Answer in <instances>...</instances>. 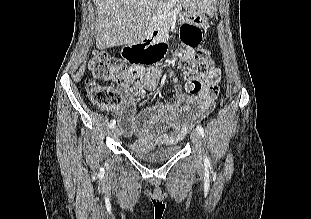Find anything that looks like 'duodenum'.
I'll list each match as a JSON object with an SVG mask.
<instances>
[{
	"label": "duodenum",
	"instance_id": "duodenum-1",
	"mask_svg": "<svg viewBox=\"0 0 311 219\" xmlns=\"http://www.w3.org/2000/svg\"><path fill=\"white\" fill-rule=\"evenodd\" d=\"M160 48H165V39L161 36L158 29L152 28L147 31L140 43H136L127 48V57H138L140 55L152 54L154 51ZM125 50V52H126Z\"/></svg>",
	"mask_w": 311,
	"mask_h": 219
}]
</instances>
